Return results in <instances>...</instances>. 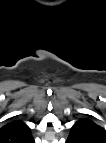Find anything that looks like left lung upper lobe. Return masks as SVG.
<instances>
[{
	"label": "left lung upper lobe",
	"mask_w": 106,
	"mask_h": 143,
	"mask_svg": "<svg viewBox=\"0 0 106 143\" xmlns=\"http://www.w3.org/2000/svg\"><path fill=\"white\" fill-rule=\"evenodd\" d=\"M70 135L80 143H106V130L89 119H80L71 128Z\"/></svg>",
	"instance_id": "obj_1"
}]
</instances>
